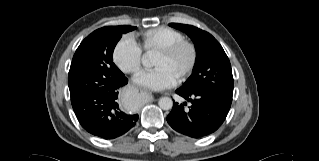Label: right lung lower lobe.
Wrapping results in <instances>:
<instances>
[{"label":"right lung lower lobe","mask_w":319,"mask_h":161,"mask_svg":"<svg viewBox=\"0 0 319 161\" xmlns=\"http://www.w3.org/2000/svg\"><path fill=\"white\" fill-rule=\"evenodd\" d=\"M123 76L111 86L94 89L72 102L81 126L89 133L104 139H113L135 126L137 114H127L119 108L118 89L127 84Z\"/></svg>","instance_id":"obj_1"}]
</instances>
